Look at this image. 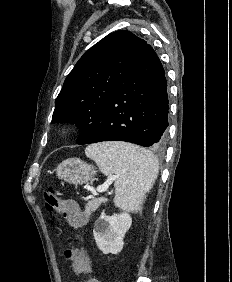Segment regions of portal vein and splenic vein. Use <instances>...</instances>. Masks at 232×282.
<instances>
[{"label":"portal vein and splenic vein","instance_id":"1","mask_svg":"<svg viewBox=\"0 0 232 282\" xmlns=\"http://www.w3.org/2000/svg\"><path fill=\"white\" fill-rule=\"evenodd\" d=\"M116 178H117V176H113L110 180H114ZM108 186H109V183H105L103 185L98 186L96 190H97L98 193H102V192H105L107 190ZM96 194L97 193L94 192V195H96Z\"/></svg>","mask_w":232,"mask_h":282}]
</instances>
